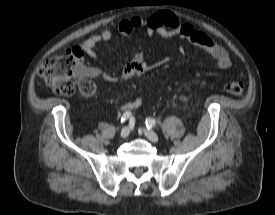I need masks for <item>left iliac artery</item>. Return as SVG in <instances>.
Segmentation results:
<instances>
[{
    "instance_id": "44dca946",
    "label": "left iliac artery",
    "mask_w": 275,
    "mask_h": 215,
    "mask_svg": "<svg viewBox=\"0 0 275 215\" xmlns=\"http://www.w3.org/2000/svg\"><path fill=\"white\" fill-rule=\"evenodd\" d=\"M145 123H146V127L148 129L153 128V127L156 126V121L152 118H146Z\"/></svg>"
}]
</instances>
